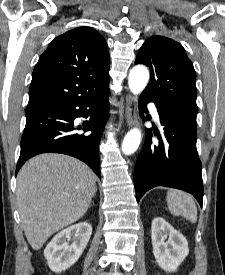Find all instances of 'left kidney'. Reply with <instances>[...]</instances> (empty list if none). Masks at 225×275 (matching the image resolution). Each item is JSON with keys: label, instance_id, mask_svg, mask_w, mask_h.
I'll return each mask as SVG.
<instances>
[{"label": "left kidney", "instance_id": "left-kidney-1", "mask_svg": "<svg viewBox=\"0 0 225 275\" xmlns=\"http://www.w3.org/2000/svg\"><path fill=\"white\" fill-rule=\"evenodd\" d=\"M151 239L156 262L166 272L176 271L189 254L186 238L161 217L152 221Z\"/></svg>", "mask_w": 225, "mask_h": 275}]
</instances>
